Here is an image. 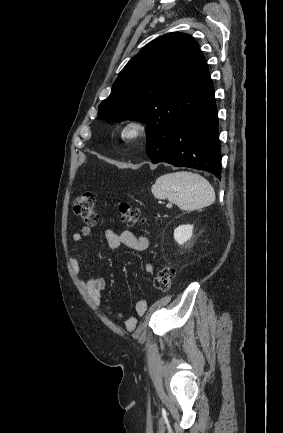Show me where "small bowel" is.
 <instances>
[{"label":"small bowel","instance_id":"c3829d8e","mask_svg":"<svg viewBox=\"0 0 283 433\" xmlns=\"http://www.w3.org/2000/svg\"><path fill=\"white\" fill-rule=\"evenodd\" d=\"M91 234L92 229L90 226H83L79 231L75 232L73 234V252L76 251L77 246L81 243V241L90 237ZM105 239L111 249H118L121 246H126L135 251H145L149 246L147 237L143 235L135 236L130 230H123L120 233H117L113 230H106ZM71 264L75 273L80 274L82 272V268L76 256L72 257ZM154 269L155 268L152 263H147L145 265V272L148 275H153ZM80 283L92 300L97 305H100L102 292L106 287V280L104 278H88L86 280H81ZM135 308L137 315L142 316L147 310V301L143 299L137 301ZM118 317L123 318V315L119 314ZM124 324L128 331H133L138 324V318L135 316L127 317L124 319Z\"/></svg>","mask_w":283,"mask_h":433}]
</instances>
